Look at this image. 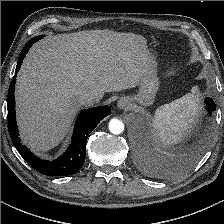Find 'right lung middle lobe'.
<instances>
[{
  "label": "right lung middle lobe",
  "instance_id": "obj_1",
  "mask_svg": "<svg viewBox=\"0 0 224 224\" xmlns=\"http://www.w3.org/2000/svg\"><path fill=\"white\" fill-rule=\"evenodd\" d=\"M42 38H43V35H39V36L34 37L33 39H35V41H38V40H40Z\"/></svg>",
  "mask_w": 224,
  "mask_h": 224
}]
</instances>
